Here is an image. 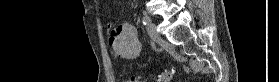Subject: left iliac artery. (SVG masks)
Masks as SVG:
<instances>
[{"label":"left iliac artery","mask_w":279,"mask_h":82,"mask_svg":"<svg viewBox=\"0 0 279 82\" xmlns=\"http://www.w3.org/2000/svg\"><path fill=\"white\" fill-rule=\"evenodd\" d=\"M150 22H151L150 17L144 16V17L142 18V23H143L144 25H148Z\"/></svg>","instance_id":"44dca946"}]
</instances>
